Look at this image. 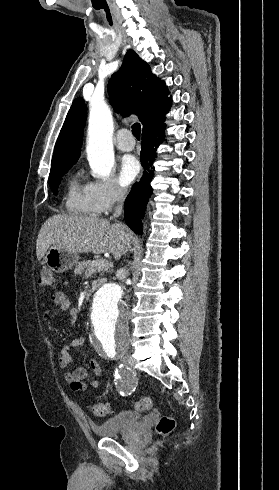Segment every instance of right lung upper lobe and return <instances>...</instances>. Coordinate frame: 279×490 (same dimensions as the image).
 <instances>
[{
	"mask_svg": "<svg viewBox=\"0 0 279 490\" xmlns=\"http://www.w3.org/2000/svg\"><path fill=\"white\" fill-rule=\"evenodd\" d=\"M113 107L122 115L137 114L143 124V133L165 126L171 98L164 82L152 74L149 65L135 51L129 50L119 71L108 83ZM86 108L82 98L73 101L57 139L51 171L73 165L80 156Z\"/></svg>",
	"mask_w": 279,
	"mask_h": 490,
	"instance_id": "1",
	"label": "right lung upper lobe"
}]
</instances>
